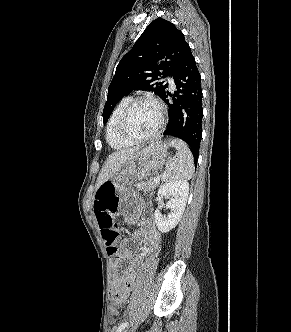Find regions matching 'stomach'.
Wrapping results in <instances>:
<instances>
[{
  "instance_id": "0dacf381",
  "label": "stomach",
  "mask_w": 291,
  "mask_h": 332,
  "mask_svg": "<svg viewBox=\"0 0 291 332\" xmlns=\"http://www.w3.org/2000/svg\"><path fill=\"white\" fill-rule=\"evenodd\" d=\"M167 150V143L153 142L137 151L111 178L118 195L120 213L135 209L139 202L138 193L129 186L130 181L147 179L153 171L160 169L169 157Z\"/></svg>"
}]
</instances>
